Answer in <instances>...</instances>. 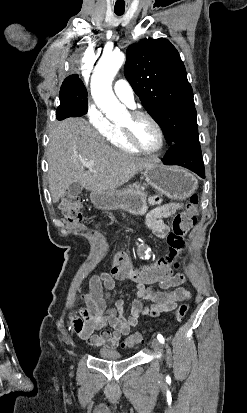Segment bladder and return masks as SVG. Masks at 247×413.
Returning <instances> with one entry per match:
<instances>
[{
    "label": "bladder",
    "instance_id": "1",
    "mask_svg": "<svg viewBox=\"0 0 247 413\" xmlns=\"http://www.w3.org/2000/svg\"><path fill=\"white\" fill-rule=\"evenodd\" d=\"M97 357L104 359H123L122 353L115 349H100Z\"/></svg>",
    "mask_w": 247,
    "mask_h": 413
}]
</instances>
